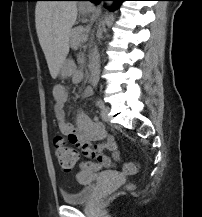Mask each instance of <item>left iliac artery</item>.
Listing matches in <instances>:
<instances>
[{"label":"left iliac artery","mask_w":202,"mask_h":217,"mask_svg":"<svg viewBox=\"0 0 202 217\" xmlns=\"http://www.w3.org/2000/svg\"><path fill=\"white\" fill-rule=\"evenodd\" d=\"M96 105H97L99 108H103V107H104V102H103L101 99H98L97 102H96Z\"/></svg>","instance_id":"44dca946"}]
</instances>
